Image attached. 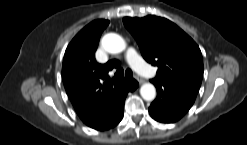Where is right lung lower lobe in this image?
<instances>
[{
  "label": "right lung lower lobe",
  "mask_w": 247,
  "mask_h": 145,
  "mask_svg": "<svg viewBox=\"0 0 247 145\" xmlns=\"http://www.w3.org/2000/svg\"><path fill=\"white\" fill-rule=\"evenodd\" d=\"M138 87V82L134 79H127L119 88L118 96L112 107L97 115L86 123L89 127L96 130H107L116 126L123 117L124 101L128 92L134 91Z\"/></svg>",
  "instance_id": "obj_1"
}]
</instances>
